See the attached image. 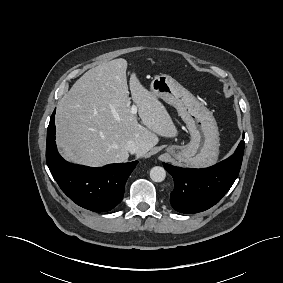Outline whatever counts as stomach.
Returning <instances> with one entry per match:
<instances>
[{"label":"stomach","instance_id":"obj_1","mask_svg":"<svg viewBox=\"0 0 283 283\" xmlns=\"http://www.w3.org/2000/svg\"><path fill=\"white\" fill-rule=\"evenodd\" d=\"M150 92L177 109L191 136L188 144L171 145L166 151L186 165L205 167L214 164L218 159L220 143L213 114L171 76L154 77Z\"/></svg>","mask_w":283,"mask_h":283}]
</instances>
